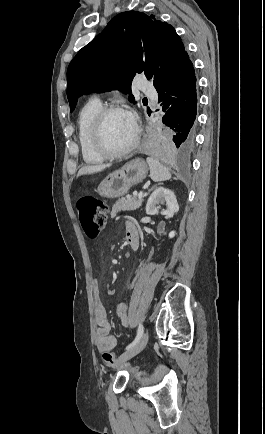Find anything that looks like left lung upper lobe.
Masks as SVG:
<instances>
[{
    "label": "left lung upper lobe",
    "instance_id": "5c2ea615",
    "mask_svg": "<svg viewBox=\"0 0 265 434\" xmlns=\"http://www.w3.org/2000/svg\"><path fill=\"white\" fill-rule=\"evenodd\" d=\"M185 55L183 42L171 25L142 12H122L69 64L71 112L82 94L112 89L129 93L136 73L143 72L160 89ZM129 99L134 101L132 95Z\"/></svg>",
    "mask_w": 265,
    "mask_h": 434
}]
</instances>
